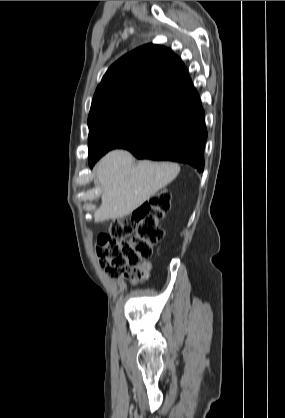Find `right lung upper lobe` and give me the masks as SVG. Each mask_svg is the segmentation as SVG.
<instances>
[{"mask_svg":"<svg viewBox=\"0 0 285 418\" xmlns=\"http://www.w3.org/2000/svg\"><path fill=\"white\" fill-rule=\"evenodd\" d=\"M197 95L181 59L169 48L147 44L108 69L96 89L90 113L124 101H144L172 109Z\"/></svg>","mask_w":285,"mask_h":418,"instance_id":"cb5924a9","label":"right lung upper lobe"}]
</instances>
